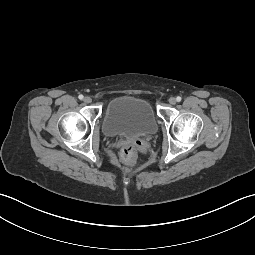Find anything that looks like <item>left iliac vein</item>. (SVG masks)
<instances>
[{
  "label": "left iliac vein",
  "mask_w": 255,
  "mask_h": 255,
  "mask_svg": "<svg viewBox=\"0 0 255 255\" xmlns=\"http://www.w3.org/2000/svg\"><path fill=\"white\" fill-rule=\"evenodd\" d=\"M169 103L172 105L176 104V99L174 97L169 98Z\"/></svg>",
  "instance_id": "4c4485c4"
}]
</instances>
